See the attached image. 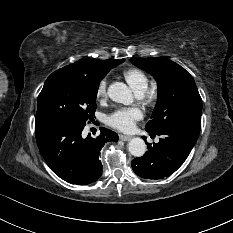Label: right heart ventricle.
Returning a JSON list of instances; mask_svg holds the SVG:
<instances>
[{
  "instance_id": "e07e8e85",
  "label": "right heart ventricle",
  "mask_w": 233,
  "mask_h": 233,
  "mask_svg": "<svg viewBox=\"0 0 233 233\" xmlns=\"http://www.w3.org/2000/svg\"><path fill=\"white\" fill-rule=\"evenodd\" d=\"M123 76L130 87L137 93L144 92L149 84V78L147 74L138 68H130L123 72Z\"/></svg>"
}]
</instances>
